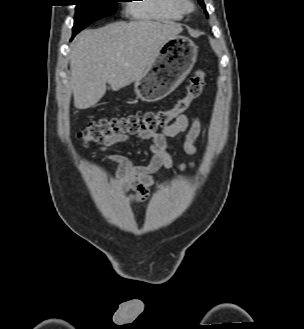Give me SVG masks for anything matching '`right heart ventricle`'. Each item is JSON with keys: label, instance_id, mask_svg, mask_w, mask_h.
<instances>
[{"label": "right heart ventricle", "instance_id": "right-heart-ventricle-1", "mask_svg": "<svg viewBox=\"0 0 304 329\" xmlns=\"http://www.w3.org/2000/svg\"><path fill=\"white\" fill-rule=\"evenodd\" d=\"M141 3L130 4L133 16L143 19L180 21L183 13L178 9L176 0H135Z\"/></svg>", "mask_w": 304, "mask_h": 329}]
</instances>
